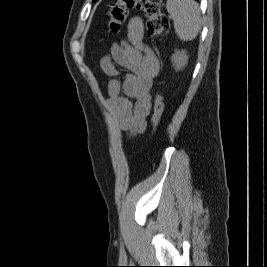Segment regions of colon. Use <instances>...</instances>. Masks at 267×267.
<instances>
[{
	"label": "colon",
	"instance_id": "obj_1",
	"mask_svg": "<svg viewBox=\"0 0 267 267\" xmlns=\"http://www.w3.org/2000/svg\"><path fill=\"white\" fill-rule=\"evenodd\" d=\"M132 10L141 11L146 17V28L149 36L158 38L168 33L169 19L163 13L160 3L154 0H116L110 5L108 31L118 33ZM163 108L162 97L157 94L152 115L154 132L161 123Z\"/></svg>",
	"mask_w": 267,
	"mask_h": 267
}]
</instances>
